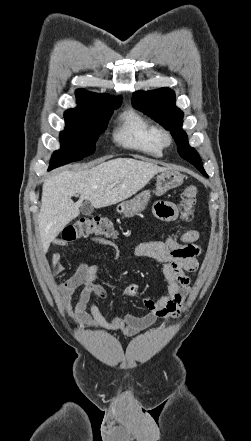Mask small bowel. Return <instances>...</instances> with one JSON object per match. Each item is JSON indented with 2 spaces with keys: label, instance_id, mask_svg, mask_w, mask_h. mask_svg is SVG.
Returning <instances> with one entry per match:
<instances>
[{
  "label": "small bowel",
  "instance_id": "small-bowel-1",
  "mask_svg": "<svg viewBox=\"0 0 251 441\" xmlns=\"http://www.w3.org/2000/svg\"><path fill=\"white\" fill-rule=\"evenodd\" d=\"M156 217L166 221L178 218L176 206L167 201H159L154 206ZM200 237L197 230L190 229L183 233L167 238L165 241H149L140 243L134 251L137 257H146L156 260L162 265L163 275L167 282V291L159 299H143L147 313L142 316L133 314H113L107 319L92 300L93 296L106 298L105 287L97 282L100 273V264L78 265L75 272L59 283L58 288L64 299L65 309L73 322L85 329L104 328L120 331L124 335L133 336L141 330L153 325L158 319L177 317L190 291V278L187 273L197 271L199 262L197 256L200 248L196 244ZM97 243L109 245L102 238L94 240ZM56 246H67L68 242L58 240ZM118 255L111 257L110 262L116 263ZM51 267L55 274H62L65 267L61 263L58 253L51 259ZM80 291L75 302H71L76 291ZM122 294L128 297H139V285L132 283L123 289Z\"/></svg>",
  "mask_w": 251,
  "mask_h": 441
}]
</instances>
